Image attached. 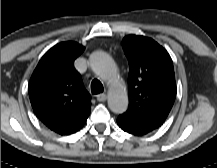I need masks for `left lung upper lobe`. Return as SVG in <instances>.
I'll return each mask as SVG.
<instances>
[{
	"label": "left lung upper lobe",
	"instance_id": "left-lung-upper-lobe-1",
	"mask_svg": "<svg viewBox=\"0 0 217 168\" xmlns=\"http://www.w3.org/2000/svg\"><path fill=\"white\" fill-rule=\"evenodd\" d=\"M122 47L129 61V107L120 117L156 130L165 122L176 97L172 59L162 46L144 36L128 35Z\"/></svg>",
	"mask_w": 217,
	"mask_h": 168
}]
</instances>
